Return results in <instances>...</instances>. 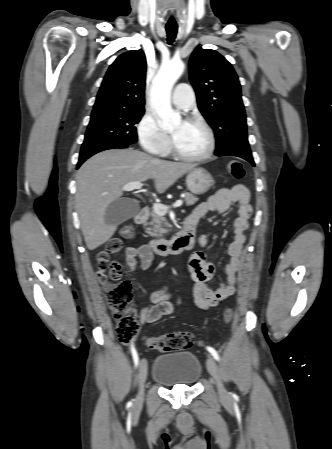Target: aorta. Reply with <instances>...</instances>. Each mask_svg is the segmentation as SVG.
Here are the masks:
<instances>
[{"label": "aorta", "mask_w": 332, "mask_h": 449, "mask_svg": "<svg viewBox=\"0 0 332 449\" xmlns=\"http://www.w3.org/2000/svg\"><path fill=\"white\" fill-rule=\"evenodd\" d=\"M184 71V63L181 60H172L162 64L151 86V103L158 117L160 127L173 129L181 122V116L171 106V91Z\"/></svg>", "instance_id": "obj_1"}]
</instances>
